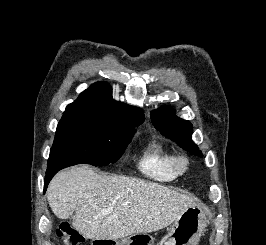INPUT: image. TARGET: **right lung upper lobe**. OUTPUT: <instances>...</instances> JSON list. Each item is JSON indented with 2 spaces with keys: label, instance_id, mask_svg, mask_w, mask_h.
Listing matches in <instances>:
<instances>
[{
  "label": "right lung upper lobe",
  "instance_id": "cb5924a9",
  "mask_svg": "<svg viewBox=\"0 0 266 245\" xmlns=\"http://www.w3.org/2000/svg\"><path fill=\"white\" fill-rule=\"evenodd\" d=\"M111 93V87L107 82H97L66 107L63 117L92 115L131 125H140L144 121L141 109L114 101Z\"/></svg>",
  "mask_w": 266,
  "mask_h": 245
}]
</instances>
